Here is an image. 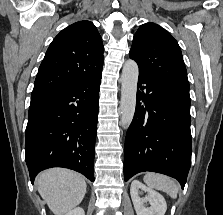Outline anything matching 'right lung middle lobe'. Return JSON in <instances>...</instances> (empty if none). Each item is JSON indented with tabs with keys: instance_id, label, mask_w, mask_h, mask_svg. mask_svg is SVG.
<instances>
[{
	"instance_id": "right-lung-middle-lobe-1",
	"label": "right lung middle lobe",
	"mask_w": 223,
	"mask_h": 215,
	"mask_svg": "<svg viewBox=\"0 0 223 215\" xmlns=\"http://www.w3.org/2000/svg\"><path fill=\"white\" fill-rule=\"evenodd\" d=\"M35 98H39V97H31V99H35Z\"/></svg>"
}]
</instances>
